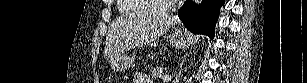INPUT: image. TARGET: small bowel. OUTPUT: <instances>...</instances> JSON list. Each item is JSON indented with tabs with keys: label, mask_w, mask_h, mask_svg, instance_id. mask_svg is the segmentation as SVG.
Wrapping results in <instances>:
<instances>
[{
	"label": "small bowel",
	"mask_w": 307,
	"mask_h": 83,
	"mask_svg": "<svg viewBox=\"0 0 307 83\" xmlns=\"http://www.w3.org/2000/svg\"><path fill=\"white\" fill-rule=\"evenodd\" d=\"M135 83H152V80L144 73H138L134 76Z\"/></svg>",
	"instance_id": "small-bowel-1"
}]
</instances>
